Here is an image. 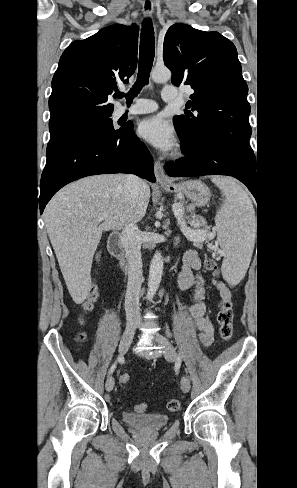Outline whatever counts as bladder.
Masks as SVG:
<instances>
[{"mask_svg": "<svg viewBox=\"0 0 297 488\" xmlns=\"http://www.w3.org/2000/svg\"><path fill=\"white\" fill-rule=\"evenodd\" d=\"M122 419L132 428L141 431H156L168 425L169 416L161 413L135 414L123 412Z\"/></svg>", "mask_w": 297, "mask_h": 488, "instance_id": "1", "label": "bladder"}]
</instances>
